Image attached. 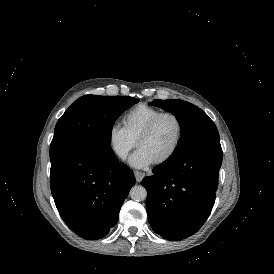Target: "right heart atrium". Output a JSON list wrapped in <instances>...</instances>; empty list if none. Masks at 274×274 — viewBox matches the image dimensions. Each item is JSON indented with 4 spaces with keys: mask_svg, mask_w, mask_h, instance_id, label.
<instances>
[{
    "mask_svg": "<svg viewBox=\"0 0 274 274\" xmlns=\"http://www.w3.org/2000/svg\"><path fill=\"white\" fill-rule=\"evenodd\" d=\"M107 142L111 151L123 159L135 146V140L129 136L123 126L112 123L107 130Z\"/></svg>",
    "mask_w": 274,
    "mask_h": 274,
    "instance_id": "d8ad5b80",
    "label": "right heart atrium"
}]
</instances>
